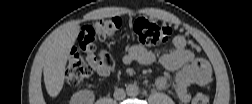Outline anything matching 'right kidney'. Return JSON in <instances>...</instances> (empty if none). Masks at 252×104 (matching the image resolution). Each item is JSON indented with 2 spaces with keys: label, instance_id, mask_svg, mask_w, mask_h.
<instances>
[{
  "label": "right kidney",
  "instance_id": "1",
  "mask_svg": "<svg viewBox=\"0 0 252 104\" xmlns=\"http://www.w3.org/2000/svg\"><path fill=\"white\" fill-rule=\"evenodd\" d=\"M95 96L91 91L81 90L76 92L71 97V103L73 104H92L94 102Z\"/></svg>",
  "mask_w": 252,
  "mask_h": 104
}]
</instances>
